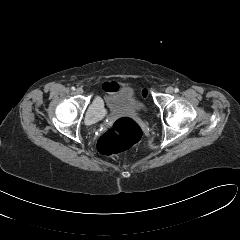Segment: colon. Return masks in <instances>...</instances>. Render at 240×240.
<instances>
[{
  "label": "colon",
  "instance_id": "1",
  "mask_svg": "<svg viewBox=\"0 0 240 240\" xmlns=\"http://www.w3.org/2000/svg\"><path fill=\"white\" fill-rule=\"evenodd\" d=\"M141 137L142 130L134 120L120 118L98 138L96 147L103 155H115L133 147Z\"/></svg>",
  "mask_w": 240,
  "mask_h": 240
}]
</instances>
